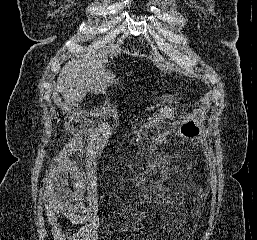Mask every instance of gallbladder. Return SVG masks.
<instances>
[{
  "label": "gallbladder",
  "instance_id": "obj_1",
  "mask_svg": "<svg viewBox=\"0 0 257 240\" xmlns=\"http://www.w3.org/2000/svg\"><path fill=\"white\" fill-rule=\"evenodd\" d=\"M63 107H64L65 109H68V108H69V107H68V104H66V103L63 105Z\"/></svg>",
  "mask_w": 257,
  "mask_h": 240
}]
</instances>
